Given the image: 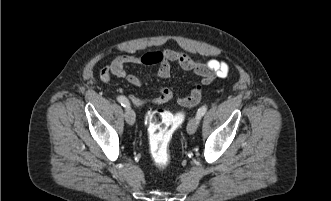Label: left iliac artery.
I'll return each instance as SVG.
<instances>
[{"label": "left iliac artery", "instance_id": "44dca946", "mask_svg": "<svg viewBox=\"0 0 331 201\" xmlns=\"http://www.w3.org/2000/svg\"><path fill=\"white\" fill-rule=\"evenodd\" d=\"M206 111H207V107L206 106H202L201 108H199L198 109V111H197V117L199 118V119H201V117L206 113Z\"/></svg>", "mask_w": 331, "mask_h": 201}]
</instances>
